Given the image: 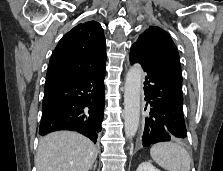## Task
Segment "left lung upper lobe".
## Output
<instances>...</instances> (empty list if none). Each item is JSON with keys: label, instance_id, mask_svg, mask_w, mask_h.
<instances>
[{"label": "left lung upper lobe", "instance_id": "1", "mask_svg": "<svg viewBox=\"0 0 223 171\" xmlns=\"http://www.w3.org/2000/svg\"><path fill=\"white\" fill-rule=\"evenodd\" d=\"M159 59L166 66L182 77L178 50L169 34L163 29L151 26L140 34L133 44Z\"/></svg>", "mask_w": 223, "mask_h": 171}]
</instances>
